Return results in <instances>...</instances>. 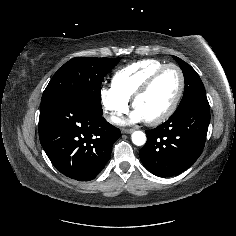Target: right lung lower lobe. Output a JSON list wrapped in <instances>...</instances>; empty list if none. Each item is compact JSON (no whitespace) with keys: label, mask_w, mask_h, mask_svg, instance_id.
Returning <instances> with one entry per match:
<instances>
[{"label":"right lung lower lobe","mask_w":236,"mask_h":236,"mask_svg":"<svg viewBox=\"0 0 236 236\" xmlns=\"http://www.w3.org/2000/svg\"><path fill=\"white\" fill-rule=\"evenodd\" d=\"M102 115L101 108L72 96L58 97L41 105L40 142L62 174L89 181L105 167L121 132Z\"/></svg>","instance_id":"1"}]
</instances>
